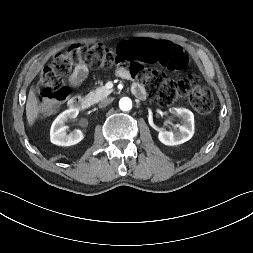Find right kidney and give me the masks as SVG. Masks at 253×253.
Instances as JSON below:
<instances>
[{
  "label": "right kidney",
  "instance_id": "obj_1",
  "mask_svg": "<svg viewBox=\"0 0 253 253\" xmlns=\"http://www.w3.org/2000/svg\"><path fill=\"white\" fill-rule=\"evenodd\" d=\"M79 111L77 109H68L62 112L52 123L50 129V140L58 146H71L79 143L84 139V134L81 130H74L67 133V127L64 125L68 120L77 117Z\"/></svg>",
  "mask_w": 253,
  "mask_h": 253
}]
</instances>
